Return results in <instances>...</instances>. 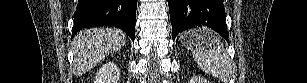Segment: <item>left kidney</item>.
<instances>
[{
  "instance_id": "obj_1",
  "label": "left kidney",
  "mask_w": 307,
  "mask_h": 83,
  "mask_svg": "<svg viewBox=\"0 0 307 83\" xmlns=\"http://www.w3.org/2000/svg\"><path fill=\"white\" fill-rule=\"evenodd\" d=\"M190 83H208V81L205 80L204 78H200V77H197V76H192L190 78Z\"/></svg>"
}]
</instances>
